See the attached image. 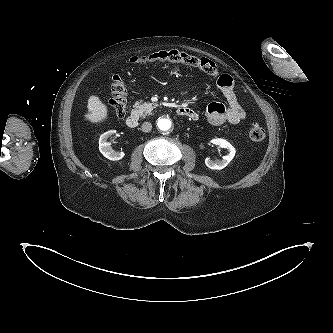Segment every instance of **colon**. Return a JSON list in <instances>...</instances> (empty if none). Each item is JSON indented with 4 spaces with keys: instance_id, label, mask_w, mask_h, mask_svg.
Segmentation results:
<instances>
[{
    "instance_id": "obj_1",
    "label": "colon",
    "mask_w": 333,
    "mask_h": 333,
    "mask_svg": "<svg viewBox=\"0 0 333 333\" xmlns=\"http://www.w3.org/2000/svg\"><path fill=\"white\" fill-rule=\"evenodd\" d=\"M130 62L137 65L151 63L181 64L199 69L210 76L219 75L217 66L212 60L205 57H196L178 50L158 51L146 56L133 57L130 59ZM110 91V110L116 117L121 118L126 111L127 88L124 80L120 76L114 75L112 77ZM249 137L255 142L262 141L265 138L264 128L258 124L253 125L249 130Z\"/></svg>"
}]
</instances>
